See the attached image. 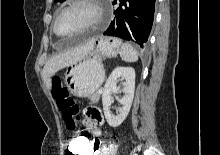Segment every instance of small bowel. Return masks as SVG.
<instances>
[{"mask_svg":"<svg viewBox=\"0 0 220 155\" xmlns=\"http://www.w3.org/2000/svg\"><path fill=\"white\" fill-rule=\"evenodd\" d=\"M84 112L86 113L87 116L85 120V125H88V130H87L88 133L95 138L100 137L102 133L101 126L103 124V118L98 110L97 105H87V107L84 109ZM77 135H81V134L78 133ZM91 142H93V147H90V149H91V155H93V153L96 152L95 143L99 142V140L95 139V140H91Z\"/></svg>","mask_w":220,"mask_h":155,"instance_id":"small-bowel-1","label":"small bowel"}]
</instances>
